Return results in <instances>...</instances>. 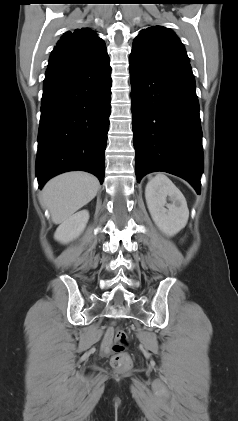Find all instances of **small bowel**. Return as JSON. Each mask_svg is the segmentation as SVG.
Returning <instances> with one entry per match:
<instances>
[{
  "label": "small bowel",
  "mask_w": 238,
  "mask_h": 421,
  "mask_svg": "<svg viewBox=\"0 0 238 421\" xmlns=\"http://www.w3.org/2000/svg\"><path fill=\"white\" fill-rule=\"evenodd\" d=\"M110 343H111V339H110V336H109V334L107 332L106 335H105V337H104V340H103V346H104V348L106 350L108 349Z\"/></svg>",
  "instance_id": "obj_1"
}]
</instances>
